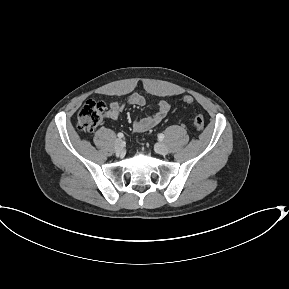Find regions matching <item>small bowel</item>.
<instances>
[{"label":"small bowel","mask_w":289,"mask_h":289,"mask_svg":"<svg viewBox=\"0 0 289 289\" xmlns=\"http://www.w3.org/2000/svg\"><path fill=\"white\" fill-rule=\"evenodd\" d=\"M146 99L140 94L130 95L125 102H111L106 112V117L111 120H116L126 105L144 106ZM170 109V104L166 101H160L157 104L156 112L143 119H138L133 122L132 129L135 133H142L157 126L167 115Z\"/></svg>","instance_id":"c3829d8e"}]
</instances>
